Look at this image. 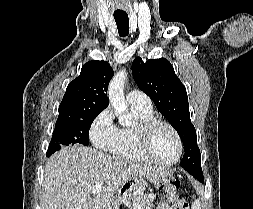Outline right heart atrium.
<instances>
[{
  "label": "right heart atrium",
  "instance_id": "1",
  "mask_svg": "<svg viewBox=\"0 0 253 209\" xmlns=\"http://www.w3.org/2000/svg\"><path fill=\"white\" fill-rule=\"evenodd\" d=\"M120 130L114 122L113 114L105 109L92 121L89 136L93 146L102 151H112L118 143Z\"/></svg>",
  "mask_w": 253,
  "mask_h": 209
}]
</instances>
